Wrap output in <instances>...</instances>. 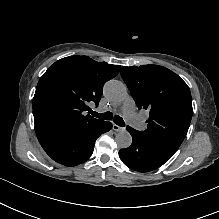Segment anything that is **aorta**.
I'll return each mask as SVG.
<instances>
[{"label": "aorta", "mask_w": 219, "mask_h": 219, "mask_svg": "<svg viewBox=\"0 0 219 219\" xmlns=\"http://www.w3.org/2000/svg\"><path fill=\"white\" fill-rule=\"evenodd\" d=\"M104 95L111 101L121 102L127 96V87L121 81L112 79L105 84ZM115 141L118 147L128 148L132 144V136L127 131H120Z\"/></svg>", "instance_id": "obj_1"}]
</instances>
